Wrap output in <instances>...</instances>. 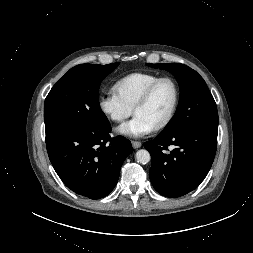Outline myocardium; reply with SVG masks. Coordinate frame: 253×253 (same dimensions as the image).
I'll list each match as a JSON object with an SVG mask.
<instances>
[{"mask_svg": "<svg viewBox=\"0 0 253 253\" xmlns=\"http://www.w3.org/2000/svg\"><path fill=\"white\" fill-rule=\"evenodd\" d=\"M164 81H169L173 85L174 101L168 115L164 118V120H162L158 125L154 127L155 131H159L167 127L172 122L173 118L175 117V114L177 112L179 102H180V87L177 81L173 77H170V76H163V77L157 78L144 90V92L142 93V95L140 96V98L137 100V102L135 103L133 107V112L135 114L138 108H140L141 106L145 105L148 102V100L150 99L156 87L161 82H164Z\"/></svg>", "mask_w": 253, "mask_h": 253, "instance_id": "obj_1", "label": "myocardium"}]
</instances>
